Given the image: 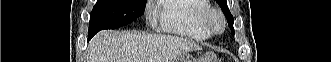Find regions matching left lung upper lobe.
Masks as SVG:
<instances>
[{
  "instance_id": "1",
  "label": "left lung upper lobe",
  "mask_w": 331,
  "mask_h": 62,
  "mask_svg": "<svg viewBox=\"0 0 331 62\" xmlns=\"http://www.w3.org/2000/svg\"><path fill=\"white\" fill-rule=\"evenodd\" d=\"M216 2L221 7L224 15L226 16V18L228 20V25L231 28L232 33L234 34V28H233L234 19H233V16L231 15V13L228 9L226 0H216Z\"/></svg>"
}]
</instances>
